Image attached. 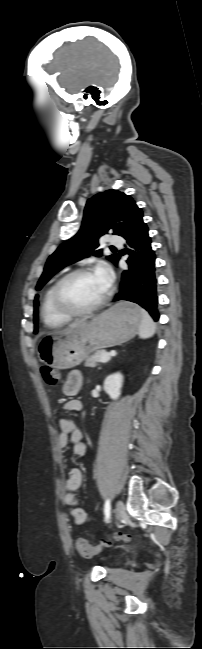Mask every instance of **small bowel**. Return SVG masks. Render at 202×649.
I'll list each match as a JSON object with an SVG mask.
<instances>
[{"label": "small bowel", "instance_id": "small-bowel-1", "mask_svg": "<svg viewBox=\"0 0 202 649\" xmlns=\"http://www.w3.org/2000/svg\"><path fill=\"white\" fill-rule=\"evenodd\" d=\"M82 374L79 371H72L68 374L64 384H63V393L67 396H74L77 394L82 386ZM64 410L67 412H79L82 410V403L78 399L68 400L64 406ZM60 432L57 437V445L61 450H64L68 443L73 444V453L76 456H84L87 452V446L83 442V435L80 429H78L75 423L69 419L60 420ZM60 460L64 461V456H60ZM83 481V475L80 469L73 468L69 472V476L65 481L64 490L67 494L64 497L65 504L70 508V513L74 518V521L78 525H83L89 521L95 520L93 516H89L81 507L78 506L77 498L68 492H73L78 490L81 487Z\"/></svg>", "mask_w": 202, "mask_h": 649}]
</instances>
